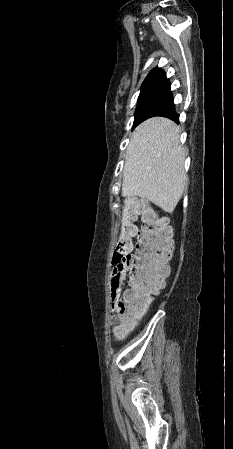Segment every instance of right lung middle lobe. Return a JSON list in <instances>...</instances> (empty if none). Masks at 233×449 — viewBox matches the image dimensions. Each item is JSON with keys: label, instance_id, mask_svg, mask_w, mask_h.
Returning <instances> with one entry per match:
<instances>
[{"label": "right lung middle lobe", "instance_id": "1", "mask_svg": "<svg viewBox=\"0 0 233 449\" xmlns=\"http://www.w3.org/2000/svg\"><path fill=\"white\" fill-rule=\"evenodd\" d=\"M172 106H174V102L170 90L152 91L140 94L134 114V127Z\"/></svg>", "mask_w": 233, "mask_h": 449}]
</instances>
